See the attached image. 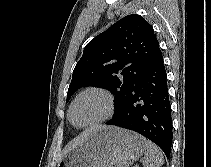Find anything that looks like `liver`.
<instances>
[{
    "label": "liver",
    "mask_w": 211,
    "mask_h": 167,
    "mask_svg": "<svg viewBox=\"0 0 211 167\" xmlns=\"http://www.w3.org/2000/svg\"><path fill=\"white\" fill-rule=\"evenodd\" d=\"M106 126H95L92 127L88 130H86L85 132H83L79 137H77L75 140H73L72 142H70L66 148L64 149L63 155H65L66 153H68L69 151H71L72 149L76 148L78 145H80L83 140L94 130L99 129V128H104Z\"/></svg>",
    "instance_id": "6515ba94"
}]
</instances>
